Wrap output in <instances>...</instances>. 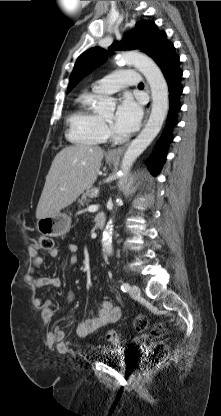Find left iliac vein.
Masks as SVG:
<instances>
[{"mask_svg": "<svg viewBox=\"0 0 221 416\" xmlns=\"http://www.w3.org/2000/svg\"><path fill=\"white\" fill-rule=\"evenodd\" d=\"M130 295L133 298H139L141 295L140 288L137 285H132L130 288Z\"/></svg>", "mask_w": 221, "mask_h": 416, "instance_id": "left-iliac-vein-1", "label": "left iliac vein"}]
</instances>
